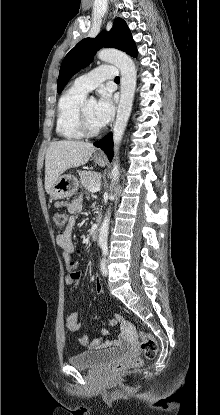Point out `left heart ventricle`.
Here are the masks:
<instances>
[{
    "instance_id": "left-heart-ventricle-1",
    "label": "left heart ventricle",
    "mask_w": 220,
    "mask_h": 415,
    "mask_svg": "<svg viewBox=\"0 0 220 415\" xmlns=\"http://www.w3.org/2000/svg\"><path fill=\"white\" fill-rule=\"evenodd\" d=\"M95 104L96 103L94 101H87L86 106H85V114H86L87 123H88L89 128L93 130L101 127V125L97 121L95 114H94Z\"/></svg>"
}]
</instances>
